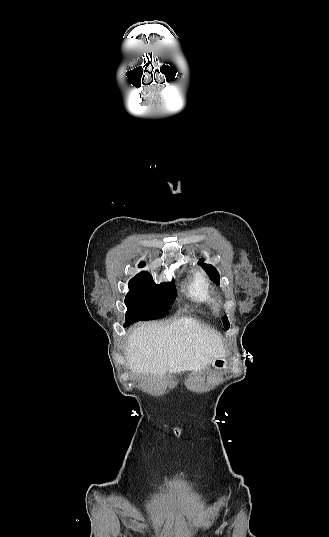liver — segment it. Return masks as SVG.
Instances as JSON below:
<instances>
[{"label": "liver", "instance_id": "liver-1", "mask_svg": "<svg viewBox=\"0 0 329 537\" xmlns=\"http://www.w3.org/2000/svg\"><path fill=\"white\" fill-rule=\"evenodd\" d=\"M220 334L195 319L182 317L170 324L143 323L127 338V366L135 373L163 377L184 371L200 372L224 357Z\"/></svg>", "mask_w": 329, "mask_h": 537}]
</instances>
